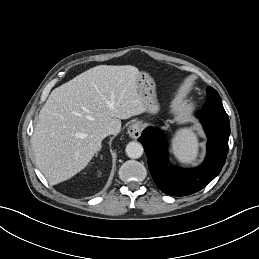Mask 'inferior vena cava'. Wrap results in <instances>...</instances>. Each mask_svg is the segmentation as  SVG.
I'll return each instance as SVG.
<instances>
[{
    "instance_id": "1",
    "label": "inferior vena cava",
    "mask_w": 259,
    "mask_h": 259,
    "mask_svg": "<svg viewBox=\"0 0 259 259\" xmlns=\"http://www.w3.org/2000/svg\"><path fill=\"white\" fill-rule=\"evenodd\" d=\"M114 129L109 127L107 129H105L102 133V137L105 138L106 136L110 135V134H114Z\"/></svg>"
}]
</instances>
